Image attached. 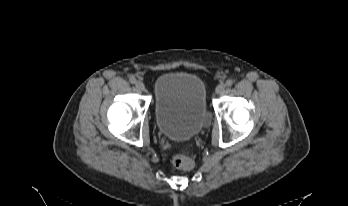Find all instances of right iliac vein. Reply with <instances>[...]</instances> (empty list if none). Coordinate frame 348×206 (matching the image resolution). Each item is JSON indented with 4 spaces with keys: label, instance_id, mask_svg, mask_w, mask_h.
<instances>
[{
    "label": "right iliac vein",
    "instance_id": "obj_1",
    "mask_svg": "<svg viewBox=\"0 0 348 206\" xmlns=\"http://www.w3.org/2000/svg\"><path fill=\"white\" fill-rule=\"evenodd\" d=\"M135 87L138 91H144V89H145V85L141 81H137L135 84Z\"/></svg>",
    "mask_w": 348,
    "mask_h": 206
}]
</instances>
